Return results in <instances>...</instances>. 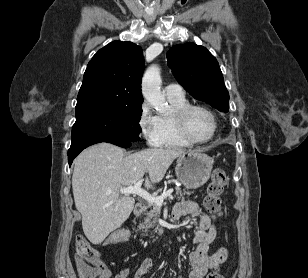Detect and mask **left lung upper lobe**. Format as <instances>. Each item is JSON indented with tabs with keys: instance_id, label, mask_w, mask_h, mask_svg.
<instances>
[{
	"instance_id": "5c2ea615",
	"label": "left lung upper lobe",
	"mask_w": 308,
	"mask_h": 278,
	"mask_svg": "<svg viewBox=\"0 0 308 278\" xmlns=\"http://www.w3.org/2000/svg\"><path fill=\"white\" fill-rule=\"evenodd\" d=\"M168 66L176 80L195 99L221 112L229 110V93L216 58L195 43L173 46L167 52Z\"/></svg>"
}]
</instances>
